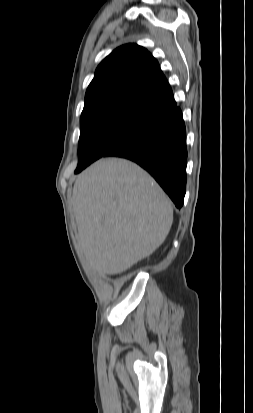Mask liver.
<instances>
[{
    "mask_svg": "<svg viewBox=\"0 0 253 413\" xmlns=\"http://www.w3.org/2000/svg\"><path fill=\"white\" fill-rule=\"evenodd\" d=\"M78 243L88 266L122 273L151 255L172 222L169 198L137 164L100 159L76 179L72 195Z\"/></svg>",
    "mask_w": 253,
    "mask_h": 413,
    "instance_id": "1",
    "label": "liver"
}]
</instances>
